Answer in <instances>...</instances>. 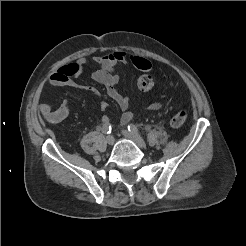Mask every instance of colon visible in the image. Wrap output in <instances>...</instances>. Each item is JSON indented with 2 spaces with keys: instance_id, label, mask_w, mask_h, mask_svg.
I'll return each mask as SVG.
<instances>
[{
  "instance_id": "obj_1",
  "label": "colon",
  "mask_w": 246,
  "mask_h": 246,
  "mask_svg": "<svg viewBox=\"0 0 246 246\" xmlns=\"http://www.w3.org/2000/svg\"><path fill=\"white\" fill-rule=\"evenodd\" d=\"M133 65L143 71L144 73L140 75L137 79V86L141 91H149L154 86V80L152 76L148 73L151 70V63L139 56L131 57ZM187 120V113L184 110L178 111L174 114L171 119V125L175 128L182 126Z\"/></svg>"
}]
</instances>
